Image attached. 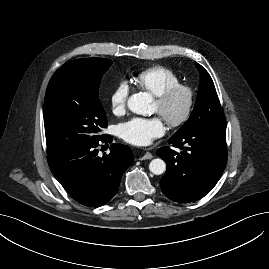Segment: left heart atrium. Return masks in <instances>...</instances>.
Instances as JSON below:
<instances>
[{
	"label": "left heart atrium",
	"mask_w": 269,
	"mask_h": 269,
	"mask_svg": "<svg viewBox=\"0 0 269 269\" xmlns=\"http://www.w3.org/2000/svg\"><path fill=\"white\" fill-rule=\"evenodd\" d=\"M117 133L126 142L134 145H147L164 133V125L159 116L133 117L119 124Z\"/></svg>",
	"instance_id": "39dd6f15"
}]
</instances>
